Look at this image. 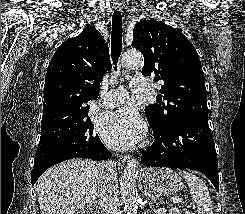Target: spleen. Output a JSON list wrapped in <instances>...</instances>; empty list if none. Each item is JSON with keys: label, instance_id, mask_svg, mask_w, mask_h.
Masks as SVG:
<instances>
[{"label": "spleen", "instance_id": "obj_1", "mask_svg": "<svg viewBox=\"0 0 245 214\" xmlns=\"http://www.w3.org/2000/svg\"><path fill=\"white\" fill-rule=\"evenodd\" d=\"M179 174L186 180L190 194L197 204L198 214H213L211 196L205 183L189 171H180Z\"/></svg>", "mask_w": 245, "mask_h": 214}]
</instances>
